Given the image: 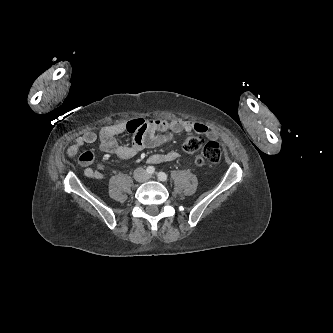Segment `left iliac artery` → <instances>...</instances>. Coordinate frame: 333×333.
Returning a JSON list of instances; mask_svg holds the SVG:
<instances>
[{
	"mask_svg": "<svg viewBox=\"0 0 333 333\" xmlns=\"http://www.w3.org/2000/svg\"><path fill=\"white\" fill-rule=\"evenodd\" d=\"M157 176H158V179H159L160 181H166V180H167V175H166L164 172H159V173L157 174Z\"/></svg>",
	"mask_w": 333,
	"mask_h": 333,
	"instance_id": "1",
	"label": "left iliac artery"
}]
</instances>
